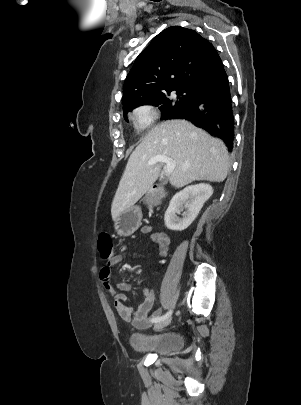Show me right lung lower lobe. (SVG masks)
<instances>
[{"label":"right lung lower lobe","mask_w":301,"mask_h":405,"mask_svg":"<svg viewBox=\"0 0 301 405\" xmlns=\"http://www.w3.org/2000/svg\"><path fill=\"white\" fill-rule=\"evenodd\" d=\"M187 119L211 135L222 139L231 150L234 144L235 119L226 73L214 84L199 90L193 100L165 119Z\"/></svg>","instance_id":"right-lung-lower-lobe-1"}]
</instances>
